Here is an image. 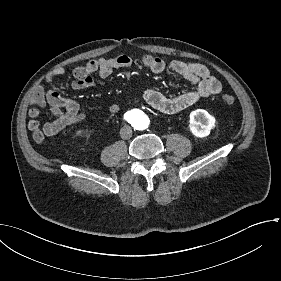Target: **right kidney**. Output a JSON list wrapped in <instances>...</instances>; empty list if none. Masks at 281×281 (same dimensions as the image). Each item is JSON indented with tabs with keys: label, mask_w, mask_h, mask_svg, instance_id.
I'll list each match as a JSON object with an SVG mask.
<instances>
[{
	"label": "right kidney",
	"mask_w": 281,
	"mask_h": 281,
	"mask_svg": "<svg viewBox=\"0 0 281 281\" xmlns=\"http://www.w3.org/2000/svg\"><path fill=\"white\" fill-rule=\"evenodd\" d=\"M77 134H81V131H78Z\"/></svg>",
	"instance_id": "1"
}]
</instances>
